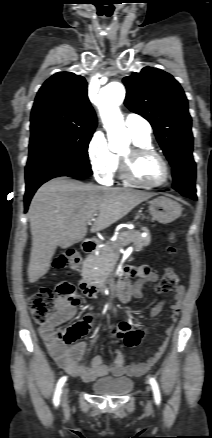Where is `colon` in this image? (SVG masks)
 <instances>
[{"label":"colon","instance_id":"1","mask_svg":"<svg viewBox=\"0 0 212 438\" xmlns=\"http://www.w3.org/2000/svg\"><path fill=\"white\" fill-rule=\"evenodd\" d=\"M170 250L174 251L173 248ZM80 261V254L73 249H69L60 253L54 260L53 265L57 269H76L78 268ZM179 282V276L174 271L167 270L159 281L157 290L162 293L176 291L179 287ZM57 294L58 297H55L50 288L41 287L31 295L29 300L31 313L34 320L39 325H46L51 322L57 312L59 300H64L71 304L77 302L74 288L71 285L60 286L57 289ZM87 328L88 327L81 321L64 329H57L56 335L65 343H72L85 335Z\"/></svg>","mask_w":212,"mask_h":438}]
</instances>
